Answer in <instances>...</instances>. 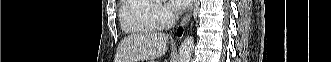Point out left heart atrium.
Returning a JSON list of instances; mask_svg holds the SVG:
<instances>
[{"label":"left heart atrium","mask_w":331,"mask_h":62,"mask_svg":"<svg viewBox=\"0 0 331 62\" xmlns=\"http://www.w3.org/2000/svg\"><path fill=\"white\" fill-rule=\"evenodd\" d=\"M169 2L175 10L182 11L189 5L191 0H169Z\"/></svg>","instance_id":"1"}]
</instances>
